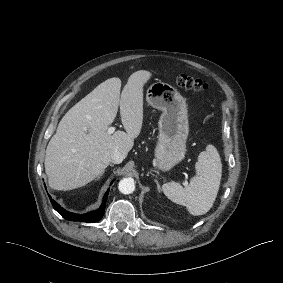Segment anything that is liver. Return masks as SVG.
Segmentation results:
<instances>
[{"instance_id":"6515ba94","label":"liver","mask_w":283,"mask_h":283,"mask_svg":"<svg viewBox=\"0 0 283 283\" xmlns=\"http://www.w3.org/2000/svg\"><path fill=\"white\" fill-rule=\"evenodd\" d=\"M146 70L130 75L120 95L121 80L110 78L76 103L61 119L46 149L45 172L55 190L85 186L110 164L118 150L125 158L141 132L143 86L150 79ZM120 107L126 132L107 130Z\"/></svg>"}]
</instances>
